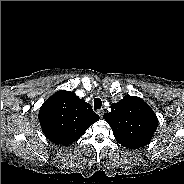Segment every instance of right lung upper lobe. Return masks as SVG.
I'll return each mask as SVG.
<instances>
[{
  "mask_svg": "<svg viewBox=\"0 0 184 184\" xmlns=\"http://www.w3.org/2000/svg\"><path fill=\"white\" fill-rule=\"evenodd\" d=\"M41 128L51 142L69 145L77 141L99 116L74 92L60 90L39 110Z\"/></svg>",
  "mask_w": 184,
  "mask_h": 184,
  "instance_id": "obj_1",
  "label": "right lung upper lobe"
}]
</instances>
